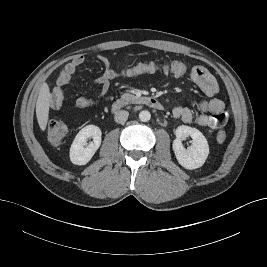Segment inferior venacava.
<instances>
[{
    "label": "inferior vena cava",
    "mask_w": 267,
    "mask_h": 267,
    "mask_svg": "<svg viewBox=\"0 0 267 267\" xmlns=\"http://www.w3.org/2000/svg\"><path fill=\"white\" fill-rule=\"evenodd\" d=\"M129 113L125 110H120L115 113L114 120L117 123H125L128 119Z\"/></svg>",
    "instance_id": "602c4592"
}]
</instances>
